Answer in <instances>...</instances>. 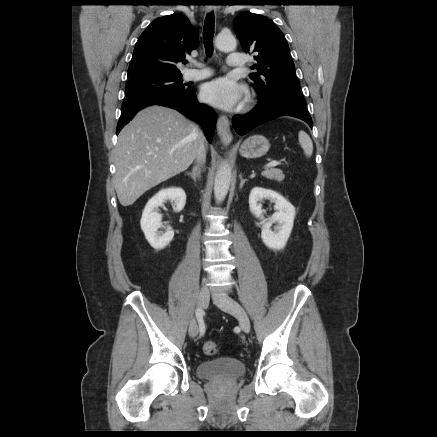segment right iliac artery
<instances>
[{
  "mask_svg": "<svg viewBox=\"0 0 437 437\" xmlns=\"http://www.w3.org/2000/svg\"><path fill=\"white\" fill-rule=\"evenodd\" d=\"M196 318H197V321L199 323L200 335H203L205 333V326L203 323V310L202 309H197Z\"/></svg>",
  "mask_w": 437,
  "mask_h": 437,
  "instance_id": "1",
  "label": "right iliac artery"
}]
</instances>
